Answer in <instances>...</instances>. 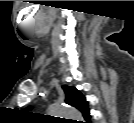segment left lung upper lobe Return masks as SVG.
<instances>
[{
	"label": "left lung upper lobe",
	"mask_w": 134,
	"mask_h": 123,
	"mask_svg": "<svg viewBox=\"0 0 134 123\" xmlns=\"http://www.w3.org/2000/svg\"><path fill=\"white\" fill-rule=\"evenodd\" d=\"M65 93V102L82 112L84 118L89 121L90 114L88 103L85 97L76 89L69 86H62Z\"/></svg>",
	"instance_id": "left-lung-upper-lobe-1"
}]
</instances>
